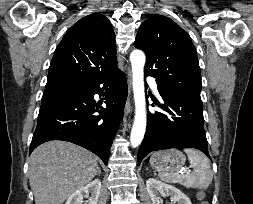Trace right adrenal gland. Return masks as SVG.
I'll return each instance as SVG.
<instances>
[{
  "label": "right adrenal gland",
  "mask_w": 253,
  "mask_h": 204,
  "mask_svg": "<svg viewBox=\"0 0 253 204\" xmlns=\"http://www.w3.org/2000/svg\"><path fill=\"white\" fill-rule=\"evenodd\" d=\"M98 174H99V175L101 174V169H100V168L98 169Z\"/></svg>",
  "instance_id": "2a0ac1e0"
}]
</instances>
